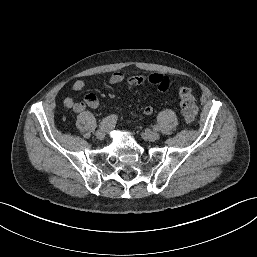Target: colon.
Segmentation results:
<instances>
[{
	"label": "colon",
	"mask_w": 257,
	"mask_h": 257,
	"mask_svg": "<svg viewBox=\"0 0 257 257\" xmlns=\"http://www.w3.org/2000/svg\"><path fill=\"white\" fill-rule=\"evenodd\" d=\"M178 94L183 118L187 124H191L195 121L198 111L196 98L186 86H179Z\"/></svg>",
	"instance_id": "5ec220e1"
}]
</instances>
